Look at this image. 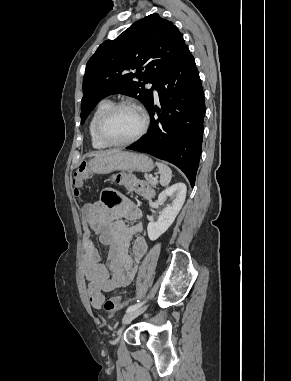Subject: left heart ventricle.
Listing matches in <instances>:
<instances>
[{
  "instance_id": "obj_1",
  "label": "left heart ventricle",
  "mask_w": 291,
  "mask_h": 381,
  "mask_svg": "<svg viewBox=\"0 0 291 381\" xmlns=\"http://www.w3.org/2000/svg\"><path fill=\"white\" fill-rule=\"evenodd\" d=\"M140 113L129 107L121 108L112 114L104 125L106 135L114 141H125L132 138L140 129Z\"/></svg>"
}]
</instances>
